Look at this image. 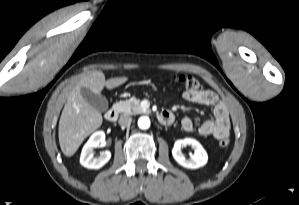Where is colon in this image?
I'll return each instance as SVG.
<instances>
[{"mask_svg":"<svg viewBox=\"0 0 299 205\" xmlns=\"http://www.w3.org/2000/svg\"><path fill=\"white\" fill-rule=\"evenodd\" d=\"M172 80L178 83L190 91H199L201 89V84L199 80L191 74H175L172 76ZM221 147H226L229 144V138L224 137L218 141Z\"/></svg>","mask_w":299,"mask_h":205,"instance_id":"1","label":"colon"}]
</instances>
